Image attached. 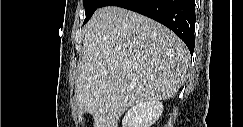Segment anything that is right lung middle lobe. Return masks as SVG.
<instances>
[{"label":"right lung middle lobe","mask_w":243,"mask_h":127,"mask_svg":"<svg viewBox=\"0 0 243 127\" xmlns=\"http://www.w3.org/2000/svg\"><path fill=\"white\" fill-rule=\"evenodd\" d=\"M104 1L105 0H83V5L86 14V18L84 20L83 25L88 22L95 10L97 8H100Z\"/></svg>","instance_id":"1"}]
</instances>
